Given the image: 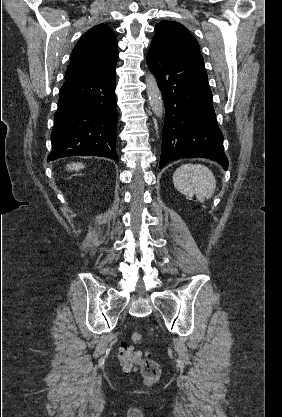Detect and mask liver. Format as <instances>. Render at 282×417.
Wrapping results in <instances>:
<instances>
[{
    "label": "liver",
    "instance_id": "6515ba94",
    "mask_svg": "<svg viewBox=\"0 0 282 417\" xmlns=\"http://www.w3.org/2000/svg\"><path fill=\"white\" fill-rule=\"evenodd\" d=\"M68 170H80V168H84V164L82 162H72V164H67Z\"/></svg>",
    "mask_w": 282,
    "mask_h": 417
}]
</instances>
